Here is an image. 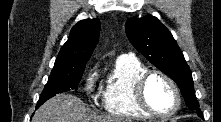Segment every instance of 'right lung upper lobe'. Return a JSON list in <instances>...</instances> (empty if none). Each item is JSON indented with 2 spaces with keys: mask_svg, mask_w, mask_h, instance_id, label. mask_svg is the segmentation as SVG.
<instances>
[{
  "mask_svg": "<svg viewBox=\"0 0 221 122\" xmlns=\"http://www.w3.org/2000/svg\"><path fill=\"white\" fill-rule=\"evenodd\" d=\"M99 19L79 21L70 31L67 42L62 46L54 67L85 66L99 38Z\"/></svg>",
  "mask_w": 221,
  "mask_h": 122,
  "instance_id": "right-lung-upper-lobe-1",
  "label": "right lung upper lobe"
}]
</instances>
